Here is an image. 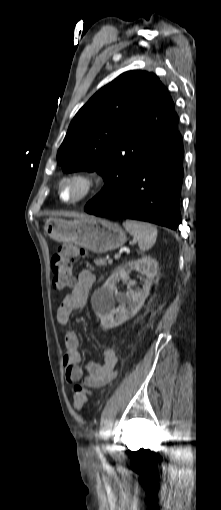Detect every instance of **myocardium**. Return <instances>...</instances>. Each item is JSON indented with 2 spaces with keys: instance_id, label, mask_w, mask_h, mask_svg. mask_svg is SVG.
<instances>
[{
  "instance_id": "1",
  "label": "myocardium",
  "mask_w": 221,
  "mask_h": 510,
  "mask_svg": "<svg viewBox=\"0 0 221 510\" xmlns=\"http://www.w3.org/2000/svg\"><path fill=\"white\" fill-rule=\"evenodd\" d=\"M79 183L82 187L80 194L71 200L63 197V190L69 183ZM101 185V176L94 169H78L68 173L62 178L59 184L58 194L61 202L69 205L82 203L92 197Z\"/></svg>"
}]
</instances>
